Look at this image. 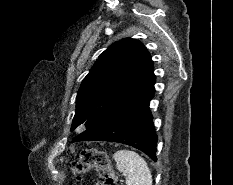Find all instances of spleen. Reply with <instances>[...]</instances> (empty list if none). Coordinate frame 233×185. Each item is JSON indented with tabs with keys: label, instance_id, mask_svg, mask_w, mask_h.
Masks as SVG:
<instances>
[{
	"label": "spleen",
	"instance_id": "1",
	"mask_svg": "<svg viewBox=\"0 0 233 185\" xmlns=\"http://www.w3.org/2000/svg\"><path fill=\"white\" fill-rule=\"evenodd\" d=\"M113 159L119 172L126 175L127 185H152V175L146 161L131 150H118Z\"/></svg>",
	"mask_w": 233,
	"mask_h": 185
}]
</instances>
